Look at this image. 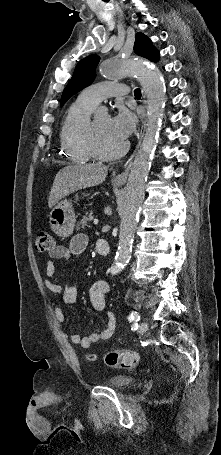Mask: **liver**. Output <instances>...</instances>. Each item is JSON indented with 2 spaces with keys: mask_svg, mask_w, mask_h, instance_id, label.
Wrapping results in <instances>:
<instances>
[{
  "mask_svg": "<svg viewBox=\"0 0 221 455\" xmlns=\"http://www.w3.org/2000/svg\"><path fill=\"white\" fill-rule=\"evenodd\" d=\"M107 175L108 167L101 163L76 164L62 168L51 187L48 198L49 208L74 191L103 183Z\"/></svg>",
  "mask_w": 221,
  "mask_h": 455,
  "instance_id": "6515ba94",
  "label": "liver"
}]
</instances>
